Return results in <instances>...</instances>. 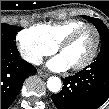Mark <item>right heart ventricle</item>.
Masks as SVG:
<instances>
[{
    "mask_svg": "<svg viewBox=\"0 0 109 109\" xmlns=\"http://www.w3.org/2000/svg\"><path fill=\"white\" fill-rule=\"evenodd\" d=\"M86 24L82 20L71 19L53 24H44L41 28L55 46H58L72 31Z\"/></svg>",
    "mask_w": 109,
    "mask_h": 109,
    "instance_id": "1",
    "label": "right heart ventricle"
}]
</instances>
